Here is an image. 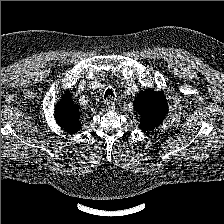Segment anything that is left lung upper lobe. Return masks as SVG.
<instances>
[{
    "instance_id": "5c2ea615",
    "label": "left lung upper lobe",
    "mask_w": 224,
    "mask_h": 224,
    "mask_svg": "<svg viewBox=\"0 0 224 224\" xmlns=\"http://www.w3.org/2000/svg\"><path fill=\"white\" fill-rule=\"evenodd\" d=\"M134 110L140 114V128L152 131L164 120L168 107L163 92L147 89L141 91L134 102Z\"/></svg>"
}]
</instances>
